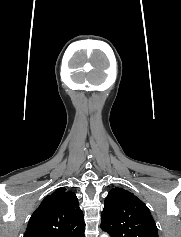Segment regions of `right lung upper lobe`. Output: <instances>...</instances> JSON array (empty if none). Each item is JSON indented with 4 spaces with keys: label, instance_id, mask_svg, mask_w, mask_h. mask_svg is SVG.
<instances>
[{
    "label": "right lung upper lobe",
    "instance_id": "right-lung-upper-lobe-1",
    "mask_svg": "<svg viewBox=\"0 0 181 237\" xmlns=\"http://www.w3.org/2000/svg\"><path fill=\"white\" fill-rule=\"evenodd\" d=\"M84 226L75 193L61 187L34 211L24 237H84Z\"/></svg>",
    "mask_w": 181,
    "mask_h": 237
}]
</instances>
